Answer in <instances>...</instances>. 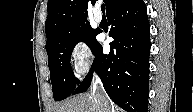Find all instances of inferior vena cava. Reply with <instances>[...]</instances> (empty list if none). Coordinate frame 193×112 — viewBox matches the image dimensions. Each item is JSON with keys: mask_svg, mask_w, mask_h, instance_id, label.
I'll list each match as a JSON object with an SVG mask.
<instances>
[{"mask_svg": "<svg viewBox=\"0 0 193 112\" xmlns=\"http://www.w3.org/2000/svg\"><path fill=\"white\" fill-rule=\"evenodd\" d=\"M92 94L101 108V112H109V104L100 79L96 76L93 80Z\"/></svg>", "mask_w": 193, "mask_h": 112, "instance_id": "1", "label": "inferior vena cava"}]
</instances>
